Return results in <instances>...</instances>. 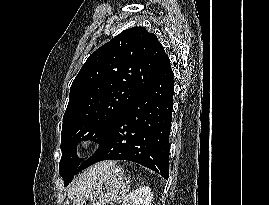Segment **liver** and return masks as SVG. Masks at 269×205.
<instances>
[{
	"label": "liver",
	"mask_w": 269,
	"mask_h": 205,
	"mask_svg": "<svg viewBox=\"0 0 269 205\" xmlns=\"http://www.w3.org/2000/svg\"><path fill=\"white\" fill-rule=\"evenodd\" d=\"M115 166V162L112 161H104L95 164L90 167L82 174H80L74 183L69 187L68 197L70 199H75L78 196L84 195L88 190L93 186L97 176L109 169L110 167Z\"/></svg>",
	"instance_id": "obj_1"
}]
</instances>
